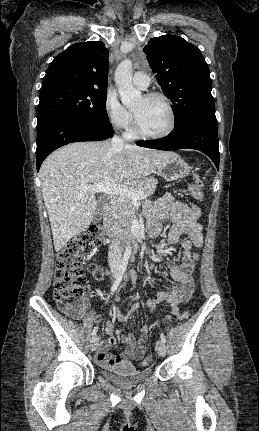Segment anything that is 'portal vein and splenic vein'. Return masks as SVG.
<instances>
[{
    "instance_id": "portal-vein-and-splenic-vein-1",
    "label": "portal vein and splenic vein",
    "mask_w": 259,
    "mask_h": 431,
    "mask_svg": "<svg viewBox=\"0 0 259 431\" xmlns=\"http://www.w3.org/2000/svg\"><path fill=\"white\" fill-rule=\"evenodd\" d=\"M83 192H91V193H97V192H104L106 194L111 195H119L122 197H128L134 201H138L141 198H143L144 194L142 191H139L135 188L128 187L125 185H116L111 184L110 182H102V183H96L89 186L83 187Z\"/></svg>"
}]
</instances>
